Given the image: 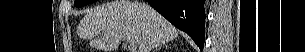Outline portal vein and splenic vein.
Segmentation results:
<instances>
[{"mask_svg":"<svg viewBox=\"0 0 305 52\" xmlns=\"http://www.w3.org/2000/svg\"><path fill=\"white\" fill-rule=\"evenodd\" d=\"M128 49H129L130 52H134V50L136 49L135 43L133 41H130Z\"/></svg>","mask_w":305,"mask_h":52,"instance_id":"1","label":"portal vein and splenic vein"}]
</instances>
